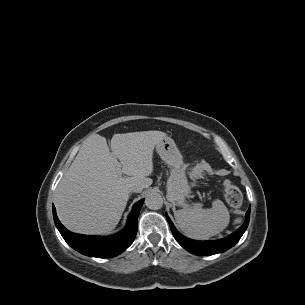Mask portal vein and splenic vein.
Masks as SVG:
<instances>
[{
    "mask_svg": "<svg viewBox=\"0 0 305 305\" xmlns=\"http://www.w3.org/2000/svg\"><path fill=\"white\" fill-rule=\"evenodd\" d=\"M114 163H115V166L117 168L118 175H122L121 163L117 159L114 160Z\"/></svg>",
    "mask_w": 305,
    "mask_h": 305,
    "instance_id": "obj_1",
    "label": "portal vein and splenic vein"
}]
</instances>
